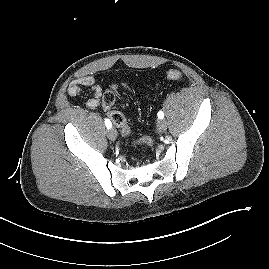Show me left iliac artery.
<instances>
[{"label":"left iliac artery","instance_id":"1","mask_svg":"<svg viewBox=\"0 0 269 269\" xmlns=\"http://www.w3.org/2000/svg\"><path fill=\"white\" fill-rule=\"evenodd\" d=\"M158 118L162 119L164 117V113L162 111L158 112Z\"/></svg>","mask_w":269,"mask_h":269}]
</instances>
